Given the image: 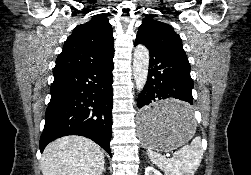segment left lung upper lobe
I'll use <instances>...</instances> for the list:
<instances>
[{
  "label": "left lung upper lobe",
  "instance_id": "1",
  "mask_svg": "<svg viewBox=\"0 0 251 175\" xmlns=\"http://www.w3.org/2000/svg\"><path fill=\"white\" fill-rule=\"evenodd\" d=\"M137 37L155 47L175 53L188 60L180 36L174 32L169 24L157 20L154 15H146L143 18Z\"/></svg>",
  "mask_w": 251,
  "mask_h": 175
}]
</instances>
